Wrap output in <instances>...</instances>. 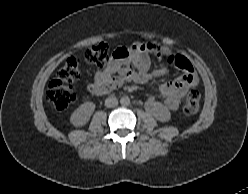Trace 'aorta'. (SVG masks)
<instances>
[{
    "label": "aorta",
    "mask_w": 248,
    "mask_h": 194,
    "mask_svg": "<svg viewBox=\"0 0 248 194\" xmlns=\"http://www.w3.org/2000/svg\"><path fill=\"white\" fill-rule=\"evenodd\" d=\"M120 104L122 106H128L130 104V98L128 96H123L121 99H120Z\"/></svg>",
    "instance_id": "762f6f07"
}]
</instances>
